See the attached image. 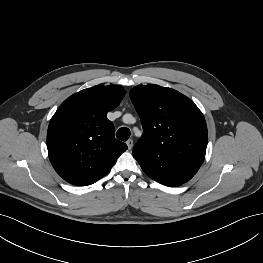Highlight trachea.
Here are the masks:
<instances>
[{
    "mask_svg": "<svg viewBox=\"0 0 263 263\" xmlns=\"http://www.w3.org/2000/svg\"><path fill=\"white\" fill-rule=\"evenodd\" d=\"M116 137L122 141H127L130 137V130L126 127H121L117 131Z\"/></svg>",
    "mask_w": 263,
    "mask_h": 263,
    "instance_id": "1",
    "label": "trachea"
}]
</instances>
